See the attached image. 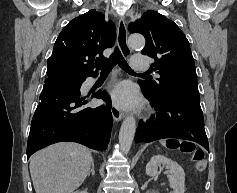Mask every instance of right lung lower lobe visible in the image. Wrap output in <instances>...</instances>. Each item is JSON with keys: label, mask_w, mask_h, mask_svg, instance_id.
I'll return each mask as SVG.
<instances>
[{"label": "right lung lower lobe", "mask_w": 237, "mask_h": 193, "mask_svg": "<svg viewBox=\"0 0 237 193\" xmlns=\"http://www.w3.org/2000/svg\"><path fill=\"white\" fill-rule=\"evenodd\" d=\"M85 79L77 81L48 75L31 122L27 158L61 141L77 142L95 150L107 148L113 123L111 101L104 91L99 90L91 97L101 98L107 105L85 107L87 97L80 95Z\"/></svg>", "instance_id": "right-lung-lower-lobe-1"}]
</instances>
